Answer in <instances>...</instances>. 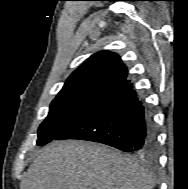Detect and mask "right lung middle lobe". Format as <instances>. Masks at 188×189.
<instances>
[{
    "label": "right lung middle lobe",
    "mask_w": 188,
    "mask_h": 189,
    "mask_svg": "<svg viewBox=\"0 0 188 189\" xmlns=\"http://www.w3.org/2000/svg\"><path fill=\"white\" fill-rule=\"evenodd\" d=\"M104 91L58 94L49 114L38 129L37 145H44L76 123L92 106L105 97Z\"/></svg>",
    "instance_id": "obj_1"
}]
</instances>
